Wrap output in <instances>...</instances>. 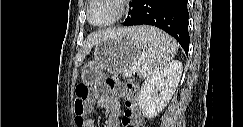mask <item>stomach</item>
I'll use <instances>...</instances> for the list:
<instances>
[{"instance_id":"obj_1","label":"stomach","mask_w":243,"mask_h":127,"mask_svg":"<svg viewBox=\"0 0 243 127\" xmlns=\"http://www.w3.org/2000/svg\"><path fill=\"white\" fill-rule=\"evenodd\" d=\"M141 48L132 35H119L99 42L95 46L94 59L82 68V80L87 85L99 83L104 71L121 73L140 60Z\"/></svg>"}]
</instances>
